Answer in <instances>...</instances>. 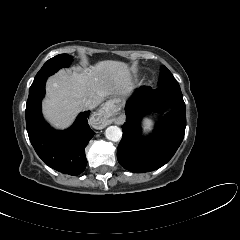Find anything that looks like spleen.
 <instances>
[{"label": "spleen", "instance_id": "obj_1", "mask_svg": "<svg viewBox=\"0 0 240 240\" xmlns=\"http://www.w3.org/2000/svg\"><path fill=\"white\" fill-rule=\"evenodd\" d=\"M142 122H143L144 134L150 133L153 130V126H154L153 120L149 118H144Z\"/></svg>", "mask_w": 240, "mask_h": 240}]
</instances>
